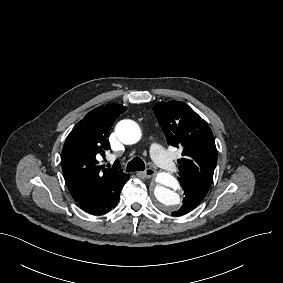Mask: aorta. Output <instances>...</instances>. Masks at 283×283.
Returning <instances> with one entry per match:
<instances>
[{"instance_id":"obj_1","label":"aorta","mask_w":283,"mask_h":283,"mask_svg":"<svg viewBox=\"0 0 283 283\" xmlns=\"http://www.w3.org/2000/svg\"><path fill=\"white\" fill-rule=\"evenodd\" d=\"M115 133L118 139L127 145L137 143L141 138V129L133 120L125 119L117 123ZM157 185L154 189V196L165 211L176 209L181 203L176 189L179 187L178 181L174 176L166 172H160L156 176Z\"/></svg>"}]
</instances>
